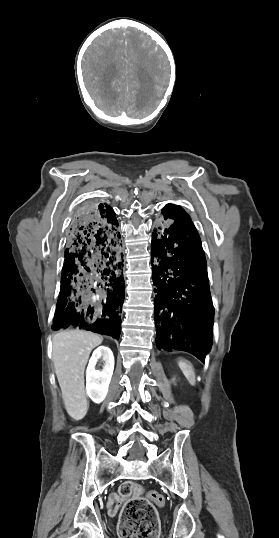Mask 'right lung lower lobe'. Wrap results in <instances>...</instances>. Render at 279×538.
Masks as SVG:
<instances>
[{"instance_id": "1", "label": "right lung lower lobe", "mask_w": 279, "mask_h": 538, "mask_svg": "<svg viewBox=\"0 0 279 538\" xmlns=\"http://www.w3.org/2000/svg\"><path fill=\"white\" fill-rule=\"evenodd\" d=\"M120 239L107 204L91 202L74 215L52 330L77 328L119 338L125 297Z\"/></svg>"}]
</instances>
